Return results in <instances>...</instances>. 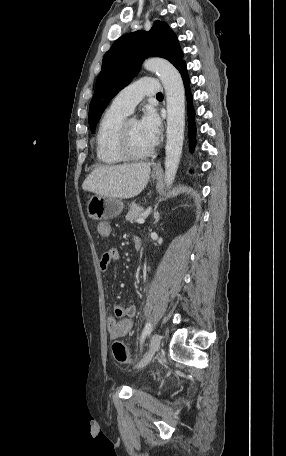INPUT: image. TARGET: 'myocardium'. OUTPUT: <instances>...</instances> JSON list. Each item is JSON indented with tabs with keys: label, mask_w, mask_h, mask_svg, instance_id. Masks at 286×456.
Returning <instances> with one entry per match:
<instances>
[{
	"label": "myocardium",
	"mask_w": 286,
	"mask_h": 456,
	"mask_svg": "<svg viewBox=\"0 0 286 456\" xmlns=\"http://www.w3.org/2000/svg\"><path fill=\"white\" fill-rule=\"evenodd\" d=\"M130 120H124L118 132V150L125 160H143L149 157L155 150L156 143L154 142L151 147L140 154L133 153L130 148V139L128 124Z\"/></svg>",
	"instance_id": "f54148a6"
}]
</instances>
